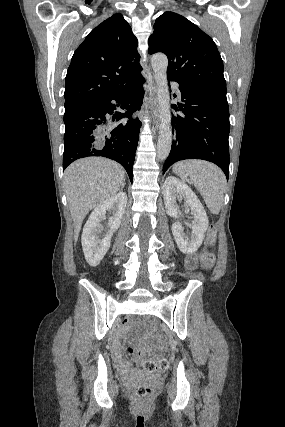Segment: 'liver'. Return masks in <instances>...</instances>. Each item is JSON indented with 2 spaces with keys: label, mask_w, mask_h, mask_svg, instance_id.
I'll use <instances>...</instances> for the list:
<instances>
[{
  "label": "liver",
  "mask_w": 285,
  "mask_h": 427,
  "mask_svg": "<svg viewBox=\"0 0 285 427\" xmlns=\"http://www.w3.org/2000/svg\"><path fill=\"white\" fill-rule=\"evenodd\" d=\"M123 183L124 169L107 158H83L67 167L64 172V187L74 222L75 241L89 211L115 195Z\"/></svg>",
  "instance_id": "obj_1"
}]
</instances>
